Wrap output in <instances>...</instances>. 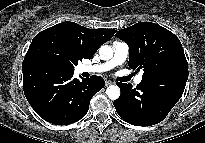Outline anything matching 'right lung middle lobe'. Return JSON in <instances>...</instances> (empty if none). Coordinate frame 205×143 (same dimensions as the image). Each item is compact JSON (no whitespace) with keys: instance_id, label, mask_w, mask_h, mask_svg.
<instances>
[{"instance_id":"obj_1","label":"right lung middle lobe","mask_w":205,"mask_h":143,"mask_svg":"<svg viewBox=\"0 0 205 143\" xmlns=\"http://www.w3.org/2000/svg\"><path fill=\"white\" fill-rule=\"evenodd\" d=\"M82 59L79 48L66 35L44 30L32 40L24 61L43 62L74 72V66Z\"/></svg>"}]
</instances>
